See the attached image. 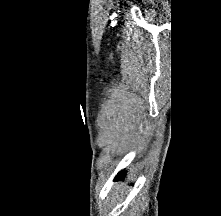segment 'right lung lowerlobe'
<instances>
[{
	"label": "right lung lower lobe",
	"instance_id": "98d812e1",
	"mask_svg": "<svg viewBox=\"0 0 221 216\" xmlns=\"http://www.w3.org/2000/svg\"><path fill=\"white\" fill-rule=\"evenodd\" d=\"M125 176L124 171H121L118 175L117 178H123Z\"/></svg>",
	"mask_w": 221,
	"mask_h": 216
}]
</instances>
